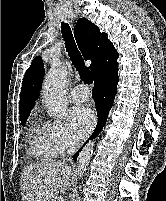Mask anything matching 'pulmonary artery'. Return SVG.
<instances>
[{"label": "pulmonary artery", "mask_w": 166, "mask_h": 201, "mask_svg": "<svg viewBox=\"0 0 166 201\" xmlns=\"http://www.w3.org/2000/svg\"><path fill=\"white\" fill-rule=\"evenodd\" d=\"M91 94L89 90L83 86L79 85L75 87L71 92V97L76 102H84L90 98Z\"/></svg>", "instance_id": "obj_1"}]
</instances>
